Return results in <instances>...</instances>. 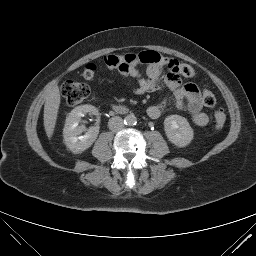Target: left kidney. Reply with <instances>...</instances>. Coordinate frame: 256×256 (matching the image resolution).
I'll return each instance as SVG.
<instances>
[{
  "label": "left kidney",
  "instance_id": "left-kidney-1",
  "mask_svg": "<svg viewBox=\"0 0 256 256\" xmlns=\"http://www.w3.org/2000/svg\"><path fill=\"white\" fill-rule=\"evenodd\" d=\"M164 130L167 138L177 147H185L194 137L193 129L186 118L170 115L164 120Z\"/></svg>",
  "mask_w": 256,
  "mask_h": 256
}]
</instances>
